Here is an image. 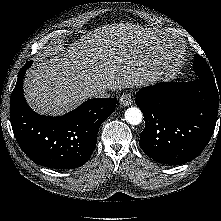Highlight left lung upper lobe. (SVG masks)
<instances>
[{
    "instance_id": "obj_1",
    "label": "left lung upper lobe",
    "mask_w": 221,
    "mask_h": 221,
    "mask_svg": "<svg viewBox=\"0 0 221 221\" xmlns=\"http://www.w3.org/2000/svg\"><path fill=\"white\" fill-rule=\"evenodd\" d=\"M194 72L199 78L215 83L212 71L207 62L197 54L194 57Z\"/></svg>"
}]
</instances>
